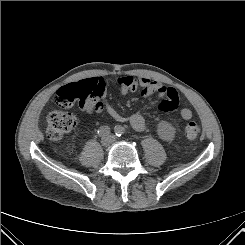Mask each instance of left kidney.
<instances>
[{
	"label": "left kidney",
	"instance_id": "left-kidney-1",
	"mask_svg": "<svg viewBox=\"0 0 245 245\" xmlns=\"http://www.w3.org/2000/svg\"><path fill=\"white\" fill-rule=\"evenodd\" d=\"M162 131H163L162 134L168 139L173 138L175 134L174 129L169 124H163Z\"/></svg>",
	"mask_w": 245,
	"mask_h": 245
}]
</instances>
